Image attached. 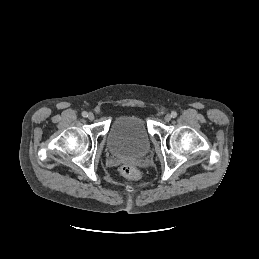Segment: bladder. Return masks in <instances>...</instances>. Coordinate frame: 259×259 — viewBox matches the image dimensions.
Here are the masks:
<instances>
[{"mask_svg": "<svg viewBox=\"0 0 259 259\" xmlns=\"http://www.w3.org/2000/svg\"><path fill=\"white\" fill-rule=\"evenodd\" d=\"M107 146L116 155H144L150 147V134L145 119L135 113L116 117L108 132Z\"/></svg>", "mask_w": 259, "mask_h": 259, "instance_id": "bladder-1", "label": "bladder"}]
</instances>
